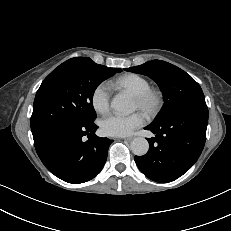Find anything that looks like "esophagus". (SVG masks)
I'll return each instance as SVG.
<instances>
[{
	"label": "esophagus",
	"mask_w": 231,
	"mask_h": 231,
	"mask_svg": "<svg viewBox=\"0 0 231 231\" xmlns=\"http://www.w3.org/2000/svg\"><path fill=\"white\" fill-rule=\"evenodd\" d=\"M120 139H121V140H124V141H131V140H132V138H131V137H128V138L121 137Z\"/></svg>",
	"instance_id": "esophagus-1"
}]
</instances>
